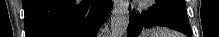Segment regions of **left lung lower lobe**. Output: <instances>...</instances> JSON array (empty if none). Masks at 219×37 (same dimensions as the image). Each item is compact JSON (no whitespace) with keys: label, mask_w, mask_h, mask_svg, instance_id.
Listing matches in <instances>:
<instances>
[{"label":"left lung lower lobe","mask_w":219,"mask_h":37,"mask_svg":"<svg viewBox=\"0 0 219 37\" xmlns=\"http://www.w3.org/2000/svg\"><path fill=\"white\" fill-rule=\"evenodd\" d=\"M164 26L182 32L192 37L189 24L184 23L172 11L154 6L146 13L137 14L130 11V21L127 28V37H138L145 27Z\"/></svg>","instance_id":"0a47b994"}]
</instances>
